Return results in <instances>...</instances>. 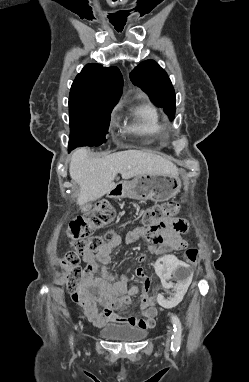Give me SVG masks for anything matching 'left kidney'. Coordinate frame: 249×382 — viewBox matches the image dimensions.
Listing matches in <instances>:
<instances>
[{
    "label": "left kidney",
    "mask_w": 249,
    "mask_h": 382,
    "mask_svg": "<svg viewBox=\"0 0 249 382\" xmlns=\"http://www.w3.org/2000/svg\"><path fill=\"white\" fill-rule=\"evenodd\" d=\"M153 264L156 266V272L158 277H161L164 287V291H160L156 296L157 307L176 309L179 302L186 298L194 271L182 270L186 264L174 255H165Z\"/></svg>",
    "instance_id": "1"
}]
</instances>
